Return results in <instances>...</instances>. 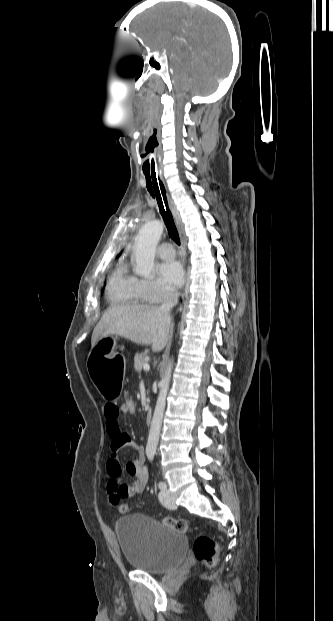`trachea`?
Listing matches in <instances>:
<instances>
[{"instance_id":"1","label":"trachea","mask_w":333,"mask_h":621,"mask_svg":"<svg viewBox=\"0 0 333 621\" xmlns=\"http://www.w3.org/2000/svg\"><path fill=\"white\" fill-rule=\"evenodd\" d=\"M144 175L146 178V187L150 195L157 200L160 213L168 230L169 237L174 240L178 245H180L178 230L176 228L171 211L168 207L166 191L162 181L159 179V177H156V174L144 172Z\"/></svg>"}]
</instances>
